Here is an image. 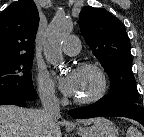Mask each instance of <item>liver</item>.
<instances>
[{"mask_svg": "<svg viewBox=\"0 0 144 137\" xmlns=\"http://www.w3.org/2000/svg\"><path fill=\"white\" fill-rule=\"evenodd\" d=\"M99 119L78 120L88 125ZM60 125H68L54 119L49 122L41 109H26L15 105L0 106V137H62Z\"/></svg>", "mask_w": 144, "mask_h": 137, "instance_id": "obj_1", "label": "liver"}]
</instances>
